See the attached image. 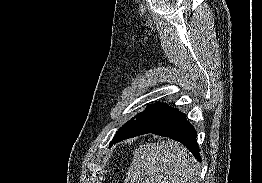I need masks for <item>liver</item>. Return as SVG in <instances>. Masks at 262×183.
<instances>
[{
  "label": "liver",
  "mask_w": 262,
  "mask_h": 183,
  "mask_svg": "<svg viewBox=\"0 0 262 183\" xmlns=\"http://www.w3.org/2000/svg\"><path fill=\"white\" fill-rule=\"evenodd\" d=\"M198 164L179 142L146 143L134 152L125 183H194Z\"/></svg>",
  "instance_id": "liver-1"
}]
</instances>
